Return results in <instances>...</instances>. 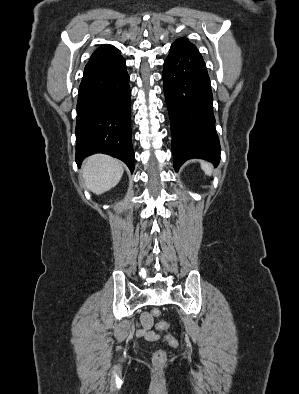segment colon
<instances>
[{
    "label": "colon",
    "mask_w": 299,
    "mask_h": 394,
    "mask_svg": "<svg viewBox=\"0 0 299 394\" xmlns=\"http://www.w3.org/2000/svg\"><path fill=\"white\" fill-rule=\"evenodd\" d=\"M160 315H161V312L158 309H155L152 311V316L154 318H158V317H160ZM157 325L162 330H167L169 327V324L164 321L159 322ZM166 340L170 346H172V347L178 346V341L175 338H173L171 336H167ZM166 360H167V354L163 350H157L152 354V363L154 365H163L166 362Z\"/></svg>",
    "instance_id": "5ec220e1"
}]
</instances>
